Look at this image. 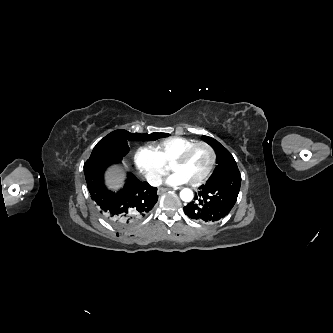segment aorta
<instances>
[{"label": "aorta", "instance_id": "1", "mask_svg": "<svg viewBox=\"0 0 333 333\" xmlns=\"http://www.w3.org/2000/svg\"><path fill=\"white\" fill-rule=\"evenodd\" d=\"M180 198L184 202H190V201H192V199H193V192H192V190L188 189V188L182 189L181 192H180Z\"/></svg>", "mask_w": 333, "mask_h": 333}]
</instances>
